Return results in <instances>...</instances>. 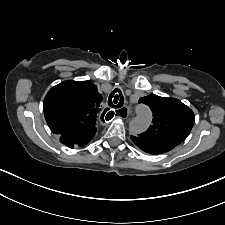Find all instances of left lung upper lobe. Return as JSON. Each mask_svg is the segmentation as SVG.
Listing matches in <instances>:
<instances>
[{
    "instance_id": "obj_1",
    "label": "left lung upper lobe",
    "mask_w": 225,
    "mask_h": 225,
    "mask_svg": "<svg viewBox=\"0 0 225 225\" xmlns=\"http://www.w3.org/2000/svg\"><path fill=\"white\" fill-rule=\"evenodd\" d=\"M153 113L150 127L138 135L144 140L178 145L190 133L195 116L193 111L178 99L149 95L139 100Z\"/></svg>"
}]
</instances>
